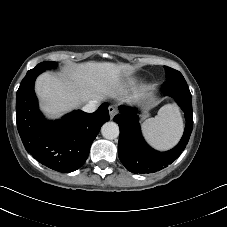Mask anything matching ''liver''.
<instances>
[{"label":"liver","mask_w":227,"mask_h":227,"mask_svg":"<svg viewBox=\"0 0 227 227\" xmlns=\"http://www.w3.org/2000/svg\"><path fill=\"white\" fill-rule=\"evenodd\" d=\"M133 67L130 64L85 62L74 64L58 75L41 74L35 84L41 110L51 118L89 103L108 98L131 102L139 97L132 88L127 89Z\"/></svg>","instance_id":"obj_1"}]
</instances>
